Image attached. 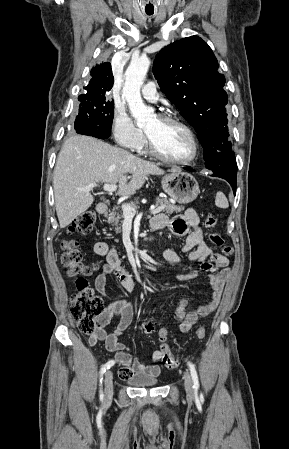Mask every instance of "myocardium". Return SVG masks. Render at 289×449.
Returning a JSON list of instances; mask_svg holds the SVG:
<instances>
[{
  "mask_svg": "<svg viewBox=\"0 0 289 449\" xmlns=\"http://www.w3.org/2000/svg\"><path fill=\"white\" fill-rule=\"evenodd\" d=\"M158 118L163 122L172 123V124H175V125L181 127L182 129H184L191 140L193 152H192V155L187 159H174V158L168 157L157 148V146L155 145V143L153 142L151 137L145 132L146 142H147V147H148L149 152L156 158H158L162 161L168 162V163H173V164H178V165H189V164H192L193 162H195L199 155V143H198L197 137H196L194 131L192 130V128L183 120H181L175 116L169 115V114H161L158 116Z\"/></svg>",
  "mask_w": 289,
  "mask_h": 449,
  "instance_id": "f54148a6",
  "label": "myocardium"
}]
</instances>
